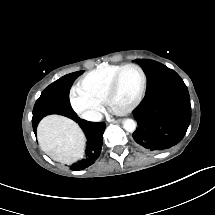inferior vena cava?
I'll return each instance as SVG.
<instances>
[{
	"instance_id": "602c4592",
	"label": "inferior vena cava",
	"mask_w": 215,
	"mask_h": 215,
	"mask_svg": "<svg viewBox=\"0 0 215 215\" xmlns=\"http://www.w3.org/2000/svg\"><path fill=\"white\" fill-rule=\"evenodd\" d=\"M82 118L87 120V121H92V122H99L102 120L103 116L100 112L95 111V110H89L85 111L82 114Z\"/></svg>"
}]
</instances>
